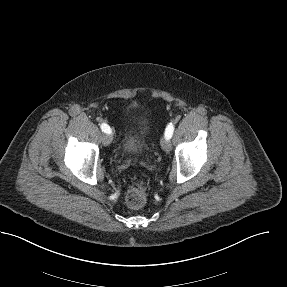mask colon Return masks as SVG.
<instances>
[{"label": "colon", "mask_w": 287, "mask_h": 287, "mask_svg": "<svg viewBox=\"0 0 287 287\" xmlns=\"http://www.w3.org/2000/svg\"><path fill=\"white\" fill-rule=\"evenodd\" d=\"M147 196V184L141 179H133L126 192V202L131 208H140L144 205Z\"/></svg>", "instance_id": "5ec220e1"}]
</instances>
